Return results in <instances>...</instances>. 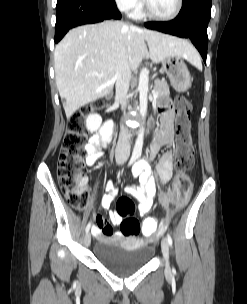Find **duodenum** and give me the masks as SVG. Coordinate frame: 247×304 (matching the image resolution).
I'll list each match as a JSON object with an SVG mask.
<instances>
[{
	"label": "duodenum",
	"mask_w": 247,
	"mask_h": 304,
	"mask_svg": "<svg viewBox=\"0 0 247 304\" xmlns=\"http://www.w3.org/2000/svg\"><path fill=\"white\" fill-rule=\"evenodd\" d=\"M115 118H116V117H115ZM112 135H113V137L116 136V135H117V132H116V131H113V132H112ZM116 137H117V136H116Z\"/></svg>",
	"instance_id": "410a0bca"
}]
</instances>
